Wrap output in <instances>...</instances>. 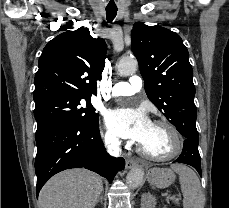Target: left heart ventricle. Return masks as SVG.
Returning a JSON list of instances; mask_svg holds the SVG:
<instances>
[{
  "label": "left heart ventricle",
  "mask_w": 229,
  "mask_h": 208,
  "mask_svg": "<svg viewBox=\"0 0 229 208\" xmlns=\"http://www.w3.org/2000/svg\"><path fill=\"white\" fill-rule=\"evenodd\" d=\"M168 130L171 129L152 124L147 136L141 142L148 152L153 153V157H164L178 149V147L170 146V135L167 134Z\"/></svg>",
  "instance_id": "1"
}]
</instances>
